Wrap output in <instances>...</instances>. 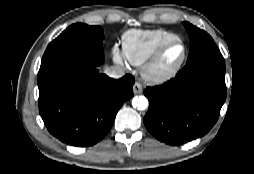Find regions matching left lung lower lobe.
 Listing matches in <instances>:
<instances>
[{
	"label": "left lung lower lobe",
	"mask_w": 254,
	"mask_h": 174,
	"mask_svg": "<svg viewBox=\"0 0 254 174\" xmlns=\"http://www.w3.org/2000/svg\"><path fill=\"white\" fill-rule=\"evenodd\" d=\"M225 69L201 66L180 70L161 86L147 87V130L159 141L180 145L204 136L216 123L226 99Z\"/></svg>",
	"instance_id": "1"
}]
</instances>
